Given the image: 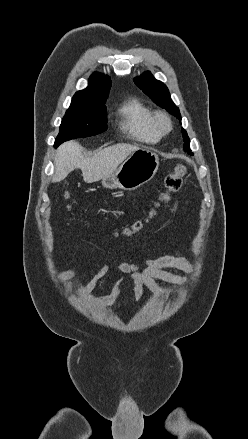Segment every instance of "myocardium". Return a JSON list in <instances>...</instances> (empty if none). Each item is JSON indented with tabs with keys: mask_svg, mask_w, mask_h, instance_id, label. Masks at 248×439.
Masks as SVG:
<instances>
[{
	"mask_svg": "<svg viewBox=\"0 0 248 439\" xmlns=\"http://www.w3.org/2000/svg\"><path fill=\"white\" fill-rule=\"evenodd\" d=\"M154 125L159 133L167 134L172 130V120L165 111H157L153 116Z\"/></svg>",
	"mask_w": 248,
	"mask_h": 439,
	"instance_id": "1",
	"label": "myocardium"
}]
</instances>
